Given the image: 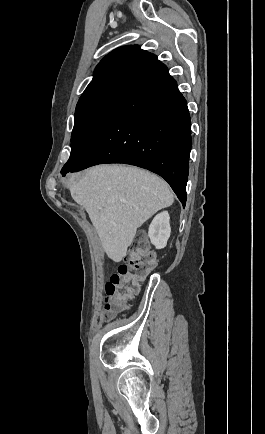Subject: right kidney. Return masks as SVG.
I'll list each match as a JSON object with an SVG mask.
<instances>
[{
	"mask_svg": "<svg viewBox=\"0 0 265 434\" xmlns=\"http://www.w3.org/2000/svg\"><path fill=\"white\" fill-rule=\"evenodd\" d=\"M170 234L171 228L168 212L157 214L149 226L148 236L151 244L155 246L156 250H162V248L167 246Z\"/></svg>",
	"mask_w": 265,
	"mask_h": 434,
	"instance_id": "1",
	"label": "right kidney"
}]
</instances>
